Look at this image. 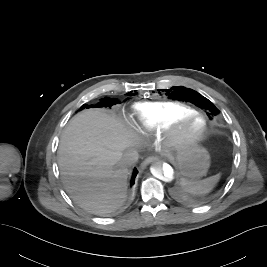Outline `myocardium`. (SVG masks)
<instances>
[{
  "label": "myocardium",
  "mask_w": 267,
  "mask_h": 267,
  "mask_svg": "<svg viewBox=\"0 0 267 267\" xmlns=\"http://www.w3.org/2000/svg\"><path fill=\"white\" fill-rule=\"evenodd\" d=\"M200 120V129L192 134L186 132V127L194 120ZM208 132L207 118L200 112L185 114L178 119L164 125L161 131V143L168 152H175L191 148L200 143Z\"/></svg>",
  "instance_id": "1"
}]
</instances>
